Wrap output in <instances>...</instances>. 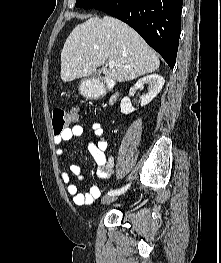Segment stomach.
Masks as SVG:
<instances>
[{"mask_svg":"<svg viewBox=\"0 0 221 263\" xmlns=\"http://www.w3.org/2000/svg\"><path fill=\"white\" fill-rule=\"evenodd\" d=\"M80 89L81 91H84V84H81Z\"/></svg>","mask_w":221,"mask_h":263,"instance_id":"stomach-1","label":"stomach"}]
</instances>
